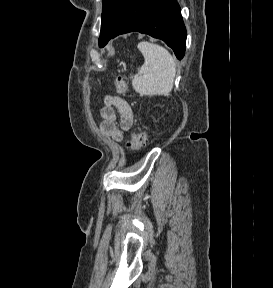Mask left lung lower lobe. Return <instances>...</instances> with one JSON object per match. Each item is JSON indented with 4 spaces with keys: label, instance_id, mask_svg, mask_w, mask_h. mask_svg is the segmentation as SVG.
Listing matches in <instances>:
<instances>
[{
    "label": "left lung lower lobe",
    "instance_id": "1",
    "mask_svg": "<svg viewBox=\"0 0 273 288\" xmlns=\"http://www.w3.org/2000/svg\"><path fill=\"white\" fill-rule=\"evenodd\" d=\"M133 31L163 40L184 57L187 34L176 0H132L111 38Z\"/></svg>",
    "mask_w": 273,
    "mask_h": 288
}]
</instances>
